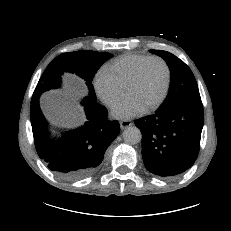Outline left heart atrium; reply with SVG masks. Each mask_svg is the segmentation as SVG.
<instances>
[{
	"label": "left heart atrium",
	"instance_id": "obj_1",
	"mask_svg": "<svg viewBox=\"0 0 231 231\" xmlns=\"http://www.w3.org/2000/svg\"><path fill=\"white\" fill-rule=\"evenodd\" d=\"M144 111L145 108L138 101L131 97H126L113 107L111 115L118 119H130Z\"/></svg>",
	"mask_w": 231,
	"mask_h": 231
}]
</instances>
